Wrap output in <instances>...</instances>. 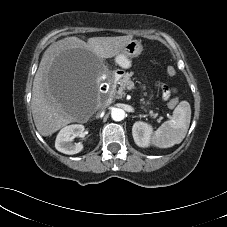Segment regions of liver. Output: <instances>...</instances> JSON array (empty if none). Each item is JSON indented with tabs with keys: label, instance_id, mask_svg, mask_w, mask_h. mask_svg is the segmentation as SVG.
I'll return each instance as SVG.
<instances>
[{
	"label": "liver",
	"instance_id": "liver-1",
	"mask_svg": "<svg viewBox=\"0 0 227 227\" xmlns=\"http://www.w3.org/2000/svg\"><path fill=\"white\" fill-rule=\"evenodd\" d=\"M132 38L133 35L92 37L85 42L73 36L52 43L45 50L34 77L31 100L33 120L42 136H50L81 119L80 100L87 98L89 92L94 94V99L99 96L100 60L118 55ZM66 60L80 63L87 74L84 88L73 95L59 92L52 81L55 67Z\"/></svg>",
	"mask_w": 227,
	"mask_h": 227
}]
</instances>
